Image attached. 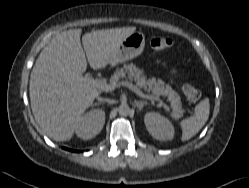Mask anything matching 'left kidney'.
<instances>
[{
  "instance_id": "obj_1",
  "label": "left kidney",
  "mask_w": 249,
  "mask_h": 188,
  "mask_svg": "<svg viewBox=\"0 0 249 188\" xmlns=\"http://www.w3.org/2000/svg\"><path fill=\"white\" fill-rule=\"evenodd\" d=\"M144 122L148 132L157 140H171L174 137V127L170 120L156 112L145 114Z\"/></svg>"
}]
</instances>
